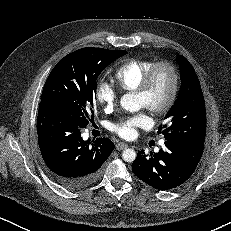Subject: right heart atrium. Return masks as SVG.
I'll use <instances>...</instances> for the list:
<instances>
[{"mask_svg":"<svg viewBox=\"0 0 231 231\" xmlns=\"http://www.w3.org/2000/svg\"><path fill=\"white\" fill-rule=\"evenodd\" d=\"M95 98L104 108L113 109L117 103V92L111 84L100 82L95 89Z\"/></svg>","mask_w":231,"mask_h":231,"instance_id":"right-heart-atrium-1","label":"right heart atrium"}]
</instances>
